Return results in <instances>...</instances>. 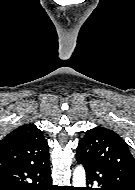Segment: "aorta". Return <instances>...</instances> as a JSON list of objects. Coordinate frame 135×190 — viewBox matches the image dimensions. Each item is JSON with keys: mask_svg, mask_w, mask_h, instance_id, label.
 Wrapping results in <instances>:
<instances>
[{"mask_svg": "<svg viewBox=\"0 0 135 190\" xmlns=\"http://www.w3.org/2000/svg\"><path fill=\"white\" fill-rule=\"evenodd\" d=\"M72 183L74 187L86 186V173L81 165H78L73 172Z\"/></svg>", "mask_w": 135, "mask_h": 190, "instance_id": "762f6f07", "label": "aorta"}]
</instances>
